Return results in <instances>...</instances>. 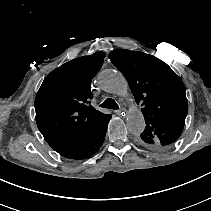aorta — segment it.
I'll return each mask as SVG.
<instances>
[{
    "mask_svg": "<svg viewBox=\"0 0 211 211\" xmlns=\"http://www.w3.org/2000/svg\"><path fill=\"white\" fill-rule=\"evenodd\" d=\"M101 88L111 94L125 96L128 91V84L125 77L114 70H105L99 75ZM126 122L128 129L133 134L141 133L145 128V120L142 112L132 107L127 116Z\"/></svg>",
    "mask_w": 211,
    "mask_h": 211,
    "instance_id": "1",
    "label": "aorta"
}]
</instances>
